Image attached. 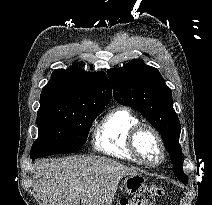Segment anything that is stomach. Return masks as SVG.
I'll return each instance as SVG.
<instances>
[{
    "label": "stomach",
    "instance_id": "obj_1",
    "mask_svg": "<svg viewBox=\"0 0 212 205\" xmlns=\"http://www.w3.org/2000/svg\"><path fill=\"white\" fill-rule=\"evenodd\" d=\"M146 178L139 174H133L122 180L121 189L127 194H136L145 186Z\"/></svg>",
    "mask_w": 212,
    "mask_h": 205
}]
</instances>
